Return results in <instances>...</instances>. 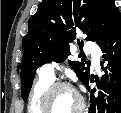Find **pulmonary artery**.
<instances>
[{"label":"pulmonary artery","mask_w":121,"mask_h":113,"mask_svg":"<svg viewBox=\"0 0 121 113\" xmlns=\"http://www.w3.org/2000/svg\"><path fill=\"white\" fill-rule=\"evenodd\" d=\"M87 50L93 55V64L95 69L98 71L100 70V65H99V55H100V50L98 48V46L93 43V42H89L87 44ZM40 74L49 78H53L54 77V67L52 64L47 63L44 64L40 67Z\"/></svg>","instance_id":"1"}]
</instances>
